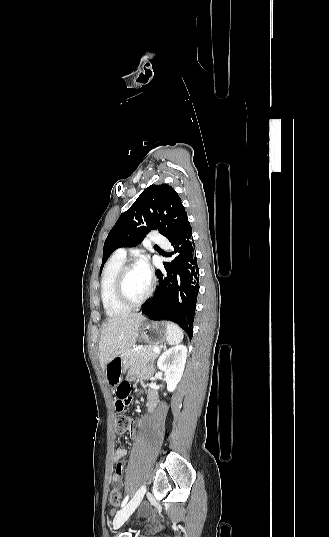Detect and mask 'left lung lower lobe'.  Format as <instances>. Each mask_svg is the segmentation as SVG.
<instances>
[{
  "label": "left lung lower lobe",
  "mask_w": 329,
  "mask_h": 537,
  "mask_svg": "<svg viewBox=\"0 0 329 537\" xmlns=\"http://www.w3.org/2000/svg\"><path fill=\"white\" fill-rule=\"evenodd\" d=\"M170 243L173 252L169 256L175 258L164 263L166 274L156 270L158 286L153 297L143 304V312L177 323L191 338L199 291V270L189 221Z\"/></svg>",
  "instance_id": "1"
}]
</instances>
